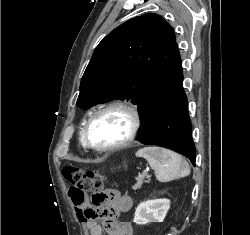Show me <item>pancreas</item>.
Masks as SVG:
<instances>
[{"mask_svg": "<svg viewBox=\"0 0 250 235\" xmlns=\"http://www.w3.org/2000/svg\"><path fill=\"white\" fill-rule=\"evenodd\" d=\"M143 178L142 177H139L137 178V183L133 185V190H137V189H140L142 184H143Z\"/></svg>", "mask_w": 250, "mask_h": 235, "instance_id": "pancreas-1", "label": "pancreas"}]
</instances>
